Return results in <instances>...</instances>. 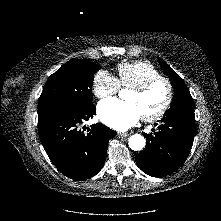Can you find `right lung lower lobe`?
<instances>
[{
	"label": "right lung lower lobe",
	"instance_id": "1",
	"mask_svg": "<svg viewBox=\"0 0 221 221\" xmlns=\"http://www.w3.org/2000/svg\"><path fill=\"white\" fill-rule=\"evenodd\" d=\"M96 113L93 103L64 105L38 113V132L53 164L65 176L85 180L104 165L109 139L116 132L102 123L90 128L81 124ZM87 129L88 133H84Z\"/></svg>",
	"mask_w": 221,
	"mask_h": 221
}]
</instances>
